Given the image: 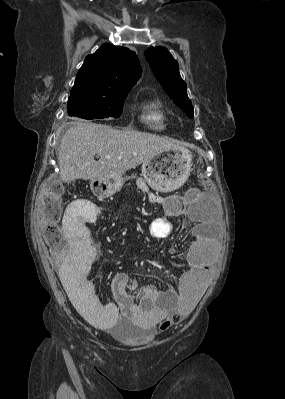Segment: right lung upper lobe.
Here are the masks:
<instances>
[{"label": "right lung upper lobe", "instance_id": "1", "mask_svg": "<svg viewBox=\"0 0 285 399\" xmlns=\"http://www.w3.org/2000/svg\"><path fill=\"white\" fill-rule=\"evenodd\" d=\"M134 51L121 46L103 44L88 55L79 69L70 96H111L129 92L141 76Z\"/></svg>", "mask_w": 285, "mask_h": 399}]
</instances>
